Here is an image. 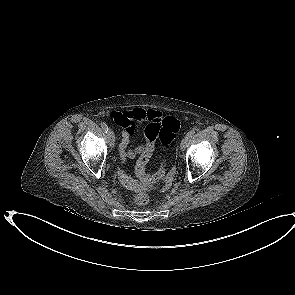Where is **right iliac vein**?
Returning <instances> with one entry per match:
<instances>
[{"label":"right iliac vein","mask_w":295,"mask_h":295,"mask_svg":"<svg viewBox=\"0 0 295 295\" xmlns=\"http://www.w3.org/2000/svg\"><path fill=\"white\" fill-rule=\"evenodd\" d=\"M107 133H108V138L111 141H114L115 140L114 132L111 129H108V132Z\"/></svg>","instance_id":"right-iliac-vein-1"}]
</instances>
